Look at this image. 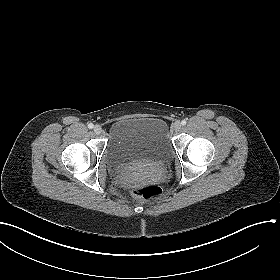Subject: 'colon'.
<instances>
[{
    "instance_id": "obj_1",
    "label": "colon",
    "mask_w": 280,
    "mask_h": 280,
    "mask_svg": "<svg viewBox=\"0 0 280 280\" xmlns=\"http://www.w3.org/2000/svg\"><path fill=\"white\" fill-rule=\"evenodd\" d=\"M132 192L145 200L158 198L161 194L160 188L152 184H137L133 187Z\"/></svg>"
}]
</instances>
